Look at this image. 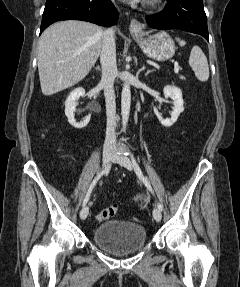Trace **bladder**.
<instances>
[{"mask_svg": "<svg viewBox=\"0 0 240 287\" xmlns=\"http://www.w3.org/2000/svg\"><path fill=\"white\" fill-rule=\"evenodd\" d=\"M91 239L108 253L127 255L145 246L146 229L141 224L114 220L98 225L92 231Z\"/></svg>", "mask_w": 240, "mask_h": 287, "instance_id": "bladder-1", "label": "bladder"}]
</instances>
